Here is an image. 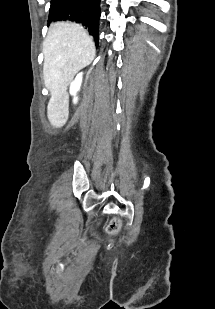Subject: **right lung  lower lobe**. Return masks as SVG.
<instances>
[{
    "label": "right lung lower lobe",
    "instance_id": "right-lung-lower-lobe-1",
    "mask_svg": "<svg viewBox=\"0 0 215 309\" xmlns=\"http://www.w3.org/2000/svg\"><path fill=\"white\" fill-rule=\"evenodd\" d=\"M101 0H51L48 24L55 21H72L81 24L99 41Z\"/></svg>",
    "mask_w": 215,
    "mask_h": 309
}]
</instances>
